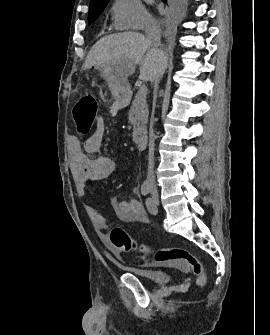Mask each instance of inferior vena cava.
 I'll return each mask as SVG.
<instances>
[{
  "mask_svg": "<svg viewBox=\"0 0 270 335\" xmlns=\"http://www.w3.org/2000/svg\"><path fill=\"white\" fill-rule=\"evenodd\" d=\"M145 36L147 40H150L152 44H154L155 48L161 46V30L159 24H157L156 20H146L145 22ZM166 68V66H164ZM164 74V70L152 80L153 88H154V98H157L158 92V84L160 82V78H162ZM154 122L151 120L150 122V134H149V164H148V175L147 181L148 185H155V175H154V130H153Z\"/></svg>",
  "mask_w": 270,
  "mask_h": 335,
  "instance_id": "obj_1",
  "label": "inferior vena cava"
}]
</instances>
